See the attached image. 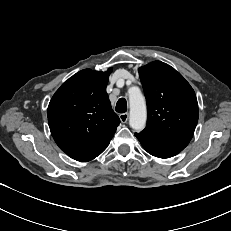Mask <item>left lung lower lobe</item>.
Here are the masks:
<instances>
[{
  "mask_svg": "<svg viewBox=\"0 0 231 231\" xmlns=\"http://www.w3.org/2000/svg\"><path fill=\"white\" fill-rule=\"evenodd\" d=\"M140 143L142 144L143 148L151 155L159 158H170L177 155L179 152L159 145L149 139L142 137L138 134H135Z\"/></svg>",
  "mask_w": 231,
  "mask_h": 231,
  "instance_id": "left-lung-lower-lobe-1",
  "label": "left lung lower lobe"
}]
</instances>
